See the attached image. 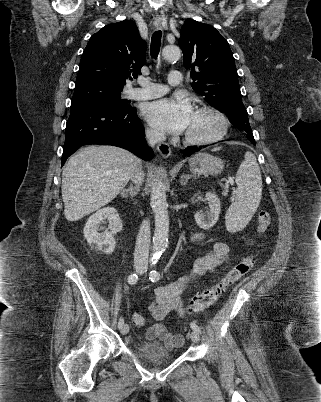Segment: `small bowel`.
Here are the masks:
<instances>
[{
	"mask_svg": "<svg viewBox=\"0 0 321 402\" xmlns=\"http://www.w3.org/2000/svg\"><path fill=\"white\" fill-rule=\"evenodd\" d=\"M195 244H201L205 240L202 233H193L191 237ZM229 246L223 241H217L213 249L198 257L190 271L178 278L176 281L158 286L154 289L155 299L149 306V311L157 323L151 325L146 332L149 340L158 339L167 347L173 348L182 344V336L177 333H171L166 326L161 323L170 313H176L186 317L189 312L184 306L181 294L189 284L196 278L210 273L224 264L229 258Z\"/></svg>",
	"mask_w": 321,
	"mask_h": 402,
	"instance_id": "1",
	"label": "small bowel"
}]
</instances>
